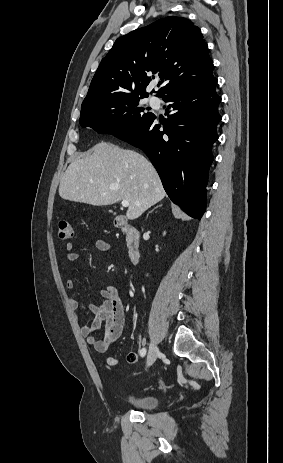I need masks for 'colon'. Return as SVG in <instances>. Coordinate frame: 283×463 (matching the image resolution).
Wrapping results in <instances>:
<instances>
[{"label": "colon", "mask_w": 283, "mask_h": 463, "mask_svg": "<svg viewBox=\"0 0 283 463\" xmlns=\"http://www.w3.org/2000/svg\"><path fill=\"white\" fill-rule=\"evenodd\" d=\"M58 236L60 239H69L73 236V229L71 223L66 219H61L58 223ZM138 356L132 352L126 355V360L129 363H135Z\"/></svg>", "instance_id": "5ec220e1"}]
</instances>
